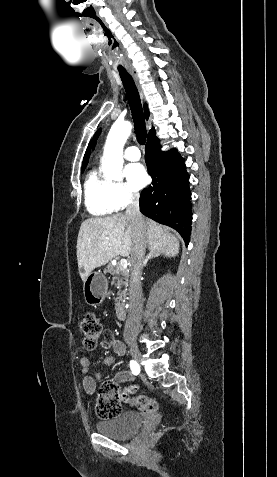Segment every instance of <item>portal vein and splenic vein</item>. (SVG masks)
<instances>
[{
    "label": "portal vein and splenic vein",
    "instance_id": "obj_1",
    "mask_svg": "<svg viewBox=\"0 0 277 477\" xmlns=\"http://www.w3.org/2000/svg\"><path fill=\"white\" fill-rule=\"evenodd\" d=\"M119 265L122 269H126L127 266H128V261L123 258V259L120 260Z\"/></svg>",
    "mask_w": 277,
    "mask_h": 477
}]
</instances>
